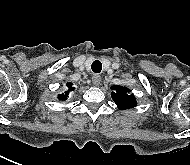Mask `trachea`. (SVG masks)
Returning a JSON list of instances; mask_svg holds the SVG:
<instances>
[{
  "label": "trachea",
  "mask_w": 190,
  "mask_h": 165,
  "mask_svg": "<svg viewBox=\"0 0 190 165\" xmlns=\"http://www.w3.org/2000/svg\"><path fill=\"white\" fill-rule=\"evenodd\" d=\"M92 71L94 73H100L102 70V63L98 60H95L91 65Z\"/></svg>",
  "instance_id": "3493384b"
}]
</instances>
